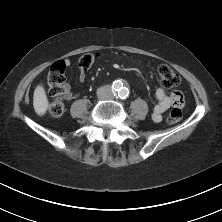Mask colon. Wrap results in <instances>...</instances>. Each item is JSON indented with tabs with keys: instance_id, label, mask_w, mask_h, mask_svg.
I'll return each instance as SVG.
<instances>
[{
	"instance_id": "obj_1",
	"label": "colon",
	"mask_w": 222,
	"mask_h": 222,
	"mask_svg": "<svg viewBox=\"0 0 222 222\" xmlns=\"http://www.w3.org/2000/svg\"><path fill=\"white\" fill-rule=\"evenodd\" d=\"M98 59V54L95 52H88L80 56L78 59V66L85 71L90 69ZM66 62L58 60L54 62L48 74V90L53 97V101L48 106V112L53 117H59L63 114L65 106L63 103L65 94V70ZM159 81L165 88H174L180 84V76L178 73L167 65L158 67L157 70ZM182 118V110L172 109L167 117L168 124H175Z\"/></svg>"
}]
</instances>
